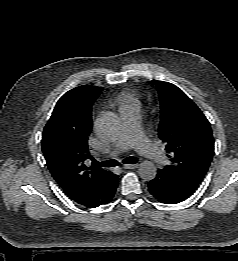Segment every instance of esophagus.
Here are the masks:
<instances>
[{
  "label": "esophagus",
  "mask_w": 238,
  "mask_h": 261,
  "mask_svg": "<svg viewBox=\"0 0 238 261\" xmlns=\"http://www.w3.org/2000/svg\"><path fill=\"white\" fill-rule=\"evenodd\" d=\"M137 167H138V164H125V165H123L124 169H134V168H137Z\"/></svg>",
  "instance_id": "34e87169"
}]
</instances>
